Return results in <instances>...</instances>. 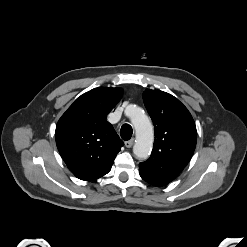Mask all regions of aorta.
Instances as JSON below:
<instances>
[{"label":"aorta","mask_w":247,"mask_h":247,"mask_svg":"<svg viewBox=\"0 0 247 247\" xmlns=\"http://www.w3.org/2000/svg\"><path fill=\"white\" fill-rule=\"evenodd\" d=\"M127 111L136 132L133 153L138 159H146L151 153L154 140L152 123L144 111L137 106L130 105Z\"/></svg>","instance_id":"obj_1"}]
</instances>
